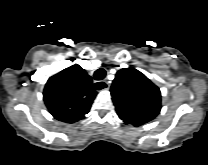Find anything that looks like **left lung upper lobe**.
<instances>
[{
    "instance_id": "1",
    "label": "left lung upper lobe",
    "mask_w": 208,
    "mask_h": 165,
    "mask_svg": "<svg viewBox=\"0 0 208 165\" xmlns=\"http://www.w3.org/2000/svg\"><path fill=\"white\" fill-rule=\"evenodd\" d=\"M110 91L116 112L125 124L141 126L161 110L159 88L134 68L119 70Z\"/></svg>"
}]
</instances>
